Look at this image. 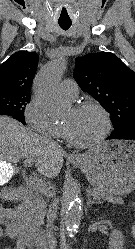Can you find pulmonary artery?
<instances>
[{"label":"pulmonary artery","instance_id":"obj_1","mask_svg":"<svg viewBox=\"0 0 135 249\" xmlns=\"http://www.w3.org/2000/svg\"><path fill=\"white\" fill-rule=\"evenodd\" d=\"M61 94L70 100H75L78 97L79 89L77 83L73 79H66L60 85Z\"/></svg>","mask_w":135,"mask_h":249}]
</instances>
